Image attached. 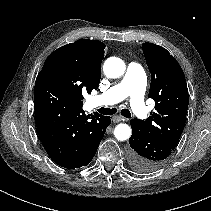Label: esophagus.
<instances>
[{
	"mask_svg": "<svg viewBox=\"0 0 211 211\" xmlns=\"http://www.w3.org/2000/svg\"><path fill=\"white\" fill-rule=\"evenodd\" d=\"M124 120H125V118L121 115H116V116H113V118H112V121L114 123H118V122H121V121H124Z\"/></svg>",
	"mask_w": 211,
	"mask_h": 211,
	"instance_id": "34e87169",
	"label": "esophagus"
}]
</instances>
